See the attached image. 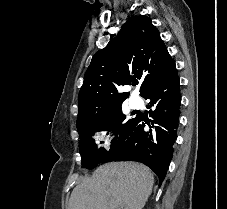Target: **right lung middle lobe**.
I'll list each match as a JSON object with an SVG mask.
<instances>
[{"mask_svg": "<svg viewBox=\"0 0 227 209\" xmlns=\"http://www.w3.org/2000/svg\"><path fill=\"white\" fill-rule=\"evenodd\" d=\"M124 99L112 98L105 101V110L100 114L85 116L77 119V130L79 133V150L82 156V167L87 169L95 168L102 162L107 154L104 148L97 149L93 138L95 132L108 131L107 135L113 134L111 147L122 137H124L133 119L127 120L122 113V102ZM103 143V142H100Z\"/></svg>", "mask_w": 227, "mask_h": 209, "instance_id": "right-lung-middle-lobe-1", "label": "right lung middle lobe"}]
</instances>
